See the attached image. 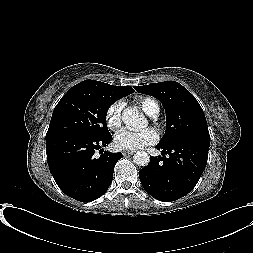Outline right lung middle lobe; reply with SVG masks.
Here are the masks:
<instances>
[{
	"label": "right lung middle lobe",
	"mask_w": 253,
	"mask_h": 253,
	"mask_svg": "<svg viewBox=\"0 0 253 253\" xmlns=\"http://www.w3.org/2000/svg\"><path fill=\"white\" fill-rule=\"evenodd\" d=\"M120 98L112 93L73 86L55 107L46 140L71 134L94 138L109 135L106 114L110 105Z\"/></svg>",
	"instance_id": "1"
}]
</instances>
